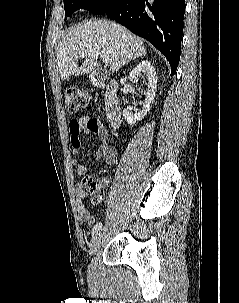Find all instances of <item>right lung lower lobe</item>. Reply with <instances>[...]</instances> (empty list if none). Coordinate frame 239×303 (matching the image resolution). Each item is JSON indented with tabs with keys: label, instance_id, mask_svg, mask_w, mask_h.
Instances as JSON below:
<instances>
[{
	"label": "right lung lower lobe",
	"instance_id": "right-lung-lower-lobe-1",
	"mask_svg": "<svg viewBox=\"0 0 239 303\" xmlns=\"http://www.w3.org/2000/svg\"><path fill=\"white\" fill-rule=\"evenodd\" d=\"M106 14L159 49L174 75L179 63L185 0H106L92 10Z\"/></svg>",
	"mask_w": 239,
	"mask_h": 303
}]
</instances>
